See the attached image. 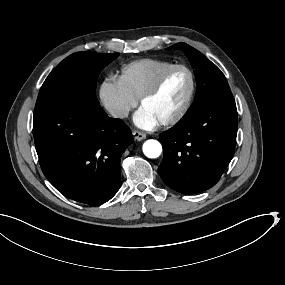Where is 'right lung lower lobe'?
I'll return each instance as SVG.
<instances>
[{"mask_svg":"<svg viewBox=\"0 0 285 285\" xmlns=\"http://www.w3.org/2000/svg\"><path fill=\"white\" fill-rule=\"evenodd\" d=\"M33 135L45 177L65 197L99 206L119 190L121 155L134 142L124 121L66 101L34 113Z\"/></svg>","mask_w":285,"mask_h":285,"instance_id":"98d812e1","label":"right lung lower lobe"}]
</instances>
